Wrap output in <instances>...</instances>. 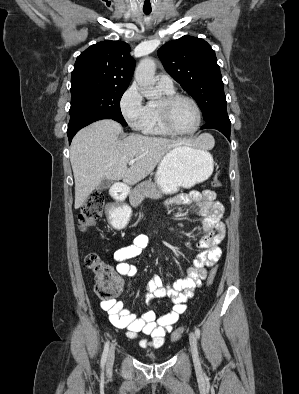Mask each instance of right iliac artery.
<instances>
[{
  "instance_id": "1",
  "label": "right iliac artery",
  "mask_w": 299,
  "mask_h": 394,
  "mask_svg": "<svg viewBox=\"0 0 299 394\" xmlns=\"http://www.w3.org/2000/svg\"><path fill=\"white\" fill-rule=\"evenodd\" d=\"M108 351H109V341H107L104 346V350H103L102 358H101V367H104V365L106 363Z\"/></svg>"
}]
</instances>
